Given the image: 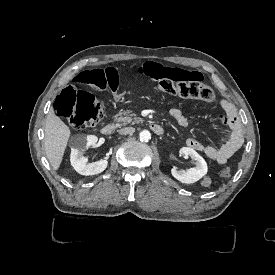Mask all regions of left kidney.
I'll list each match as a JSON object with an SVG mask.
<instances>
[{"label":"left kidney","mask_w":275,"mask_h":275,"mask_svg":"<svg viewBox=\"0 0 275 275\" xmlns=\"http://www.w3.org/2000/svg\"><path fill=\"white\" fill-rule=\"evenodd\" d=\"M185 155H190L191 158L197 161L198 165L187 170L184 169H172V176L184 184H192L197 182L208 172V165L205 159L198 154L193 148L183 147L181 150Z\"/></svg>","instance_id":"5707ae66"}]
</instances>
